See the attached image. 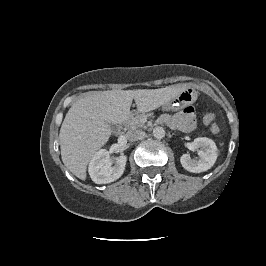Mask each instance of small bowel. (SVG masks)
<instances>
[{
  "label": "small bowel",
  "instance_id": "1",
  "mask_svg": "<svg viewBox=\"0 0 266 266\" xmlns=\"http://www.w3.org/2000/svg\"><path fill=\"white\" fill-rule=\"evenodd\" d=\"M160 121L169 127L189 132L196 125L195 110L193 107H188L173 115L165 114L161 116Z\"/></svg>",
  "mask_w": 266,
  "mask_h": 266
}]
</instances>
